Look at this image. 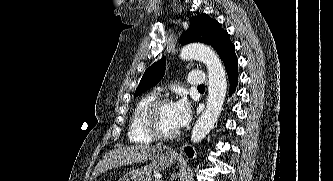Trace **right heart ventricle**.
<instances>
[{"mask_svg": "<svg viewBox=\"0 0 333 181\" xmlns=\"http://www.w3.org/2000/svg\"><path fill=\"white\" fill-rule=\"evenodd\" d=\"M157 99L156 93H149L141 97L136 103L128 128V138L136 144H149L154 141L145 129L143 116L148 106Z\"/></svg>", "mask_w": 333, "mask_h": 181, "instance_id": "1", "label": "right heart ventricle"}]
</instances>
